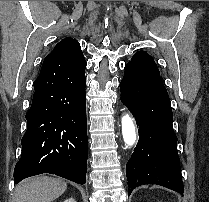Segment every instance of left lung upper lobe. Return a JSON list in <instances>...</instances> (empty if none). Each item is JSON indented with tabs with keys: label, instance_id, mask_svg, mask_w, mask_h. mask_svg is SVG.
Listing matches in <instances>:
<instances>
[{
	"label": "left lung upper lobe",
	"instance_id": "5c2ea615",
	"mask_svg": "<svg viewBox=\"0 0 209 202\" xmlns=\"http://www.w3.org/2000/svg\"><path fill=\"white\" fill-rule=\"evenodd\" d=\"M128 63L142 68L148 72L160 75L154 59L144 51L136 52L131 61H129Z\"/></svg>",
	"mask_w": 209,
	"mask_h": 202
}]
</instances>
